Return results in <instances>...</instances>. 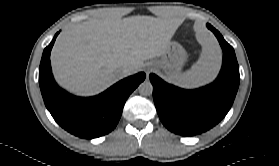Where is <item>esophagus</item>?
I'll list each match as a JSON object with an SVG mask.
<instances>
[{
  "label": "esophagus",
  "instance_id": "34e87169",
  "mask_svg": "<svg viewBox=\"0 0 279 166\" xmlns=\"http://www.w3.org/2000/svg\"><path fill=\"white\" fill-rule=\"evenodd\" d=\"M153 71V68L151 66H147L145 69V72L147 74V76H149V74Z\"/></svg>",
  "mask_w": 279,
  "mask_h": 166
}]
</instances>
